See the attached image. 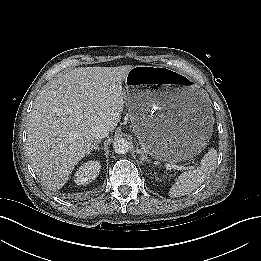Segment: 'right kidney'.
I'll return each mask as SVG.
<instances>
[{"label":"right kidney","mask_w":261,"mask_h":261,"mask_svg":"<svg viewBox=\"0 0 261 261\" xmlns=\"http://www.w3.org/2000/svg\"><path fill=\"white\" fill-rule=\"evenodd\" d=\"M101 165L98 161H88L74 174V182L77 185H87L94 180L100 172Z\"/></svg>","instance_id":"right-kidney-1"}]
</instances>
